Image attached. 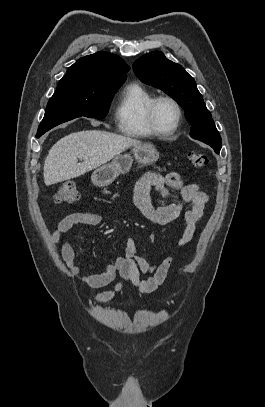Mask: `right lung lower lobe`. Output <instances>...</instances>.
<instances>
[{"instance_id":"1","label":"right lung lower lobe","mask_w":265,"mask_h":407,"mask_svg":"<svg viewBox=\"0 0 265 407\" xmlns=\"http://www.w3.org/2000/svg\"><path fill=\"white\" fill-rule=\"evenodd\" d=\"M43 135V134H42ZM41 135H37L36 137L38 138V137H40Z\"/></svg>"}]
</instances>
